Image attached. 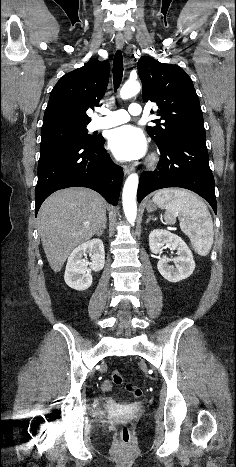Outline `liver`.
I'll list each match as a JSON object with an SVG mask.
<instances>
[{
    "instance_id": "liver-1",
    "label": "liver",
    "mask_w": 236,
    "mask_h": 467,
    "mask_svg": "<svg viewBox=\"0 0 236 467\" xmlns=\"http://www.w3.org/2000/svg\"><path fill=\"white\" fill-rule=\"evenodd\" d=\"M106 201L88 188L72 187L50 195L38 212L42 246L57 273L70 253L92 238L106 218Z\"/></svg>"
}]
</instances>
